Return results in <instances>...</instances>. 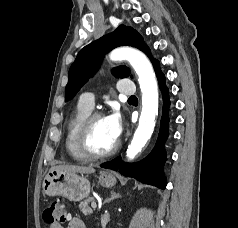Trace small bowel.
<instances>
[{"label":"small bowel","instance_id":"obj_1","mask_svg":"<svg viewBox=\"0 0 238 228\" xmlns=\"http://www.w3.org/2000/svg\"><path fill=\"white\" fill-rule=\"evenodd\" d=\"M67 220H68L67 228H85L83 220L79 217L68 216ZM49 228H64V227L60 224H53L50 225Z\"/></svg>","mask_w":238,"mask_h":228}]
</instances>
